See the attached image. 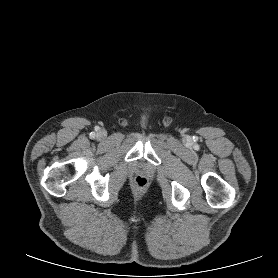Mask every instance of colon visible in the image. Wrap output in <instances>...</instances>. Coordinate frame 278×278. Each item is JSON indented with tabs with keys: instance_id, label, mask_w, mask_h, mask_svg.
<instances>
[{
	"instance_id": "colon-1",
	"label": "colon",
	"mask_w": 278,
	"mask_h": 278,
	"mask_svg": "<svg viewBox=\"0 0 278 278\" xmlns=\"http://www.w3.org/2000/svg\"><path fill=\"white\" fill-rule=\"evenodd\" d=\"M135 187L142 190L147 186V179L143 176H137L134 180Z\"/></svg>"
}]
</instances>
